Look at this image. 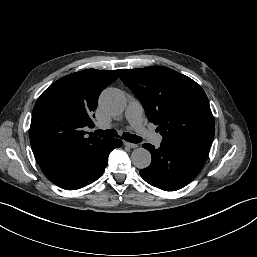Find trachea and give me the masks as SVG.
I'll return each mask as SVG.
<instances>
[{
    "mask_svg": "<svg viewBox=\"0 0 257 257\" xmlns=\"http://www.w3.org/2000/svg\"><path fill=\"white\" fill-rule=\"evenodd\" d=\"M97 136L101 138H113L117 136V131L114 129L109 130H96L94 132ZM122 138L128 142L131 143H139L142 141L141 137H138L136 135L130 134V133H123Z\"/></svg>",
    "mask_w": 257,
    "mask_h": 257,
    "instance_id": "obj_1",
    "label": "trachea"
}]
</instances>
